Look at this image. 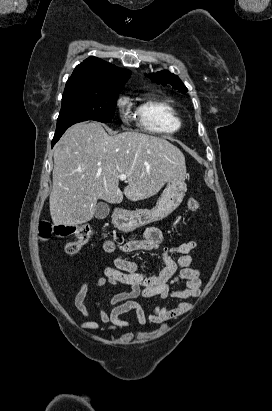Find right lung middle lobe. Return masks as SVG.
<instances>
[{
    "instance_id": "dd1d6c3e",
    "label": "right lung middle lobe",
    "mask_w": 272,
    "mask_h": 411,
    "mask_svg": "<svg viewBox=\"0 0 272 411\" xmlns=\"http://www.w3.org/2000/svg\"><path fill=\"white\" fill-rule=\"evenodd\" d=\"M121 87L103 86L89 91L64 92L54 137L62 136L68 127L78 122L94 120L110 123Z\"/></svg>"
}]
</instances>
